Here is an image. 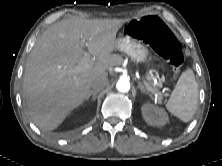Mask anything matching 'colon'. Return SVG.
Here are the masks:
<instances>
[{"mask_svg":"<svg viewBox=\"0 0 222 166\" xmlns=\"http://www.w3.org/2000/svg\"><path fill=\"white\" fill-rule=\"evenodd\" d=\"M125 33L132 38L149 44L171 64L175 71L183 65L182 48L169 27L157 16L145 15L131 21Z\"/></svg>","mask_w":222,"mask_h":166,"instance_id":"5ec220e1","label":"colon"}]
</instances>
